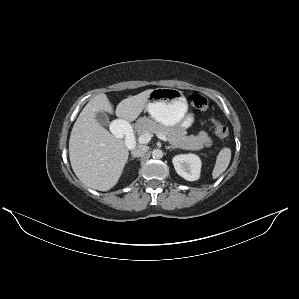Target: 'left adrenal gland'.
Returning <instances> with one entry per match:
<instances>
[{"label": "left adrenal gland", "mask_w": 299, "mask_h": 299, "mask_svg": "<svg viewBox=\"0 0 299 299\" xmlns=\"http://www.w3.org/2000/svg\"><path fill=\"white\" fill-rule=\"evenodd\" d=\"M165 148H166V149H175L174 146H166Z\"/></svg>", "instance_id": "left-adrenal-gland-1"}]
</instances>
